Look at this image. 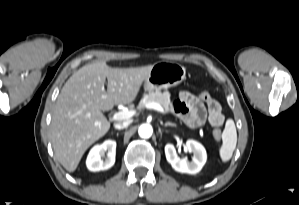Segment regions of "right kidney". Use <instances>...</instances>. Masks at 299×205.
<instances>
[{
	"instance_id": "ca27d5eb",
	"label": "right kidney",
	"mask_w": 299,
	"mask_h": 205,
	"mask_svg": "<svg viewBox=\"0 0 299 205\" xmlns=\"http://www.w3.org/2000/svg\"><path fill=\"white\" fill-rule=\"evenodd\" d=\"M115 153V141L106 140L102 144L94 146L86 160L87 168L93 172L109 169L115 163Z\"/></svg>"
}]
</instances>
